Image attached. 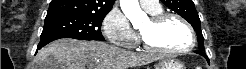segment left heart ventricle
Returning a JSON list of instances; mask_svg holds the SVG:
<instances>
[{
    "instance_id": "b2bd125f",
    "label": "left heart ventricle",
    "mask_w": 246,
    "mask_h": 69,
    "mask_svg": "<svg viewBox=\"0 0 246 69\" xmlns=\"http://www.w3.org/2000/svg\"><path fill=\"white\" fill-rule=\"evenodd\" d=\"M139 33L152 45L168 49L180 48L189 40L187 30L176 19H169L157 27L148 20L139 28Z\"/></svg>"
}]
</instances>
